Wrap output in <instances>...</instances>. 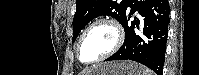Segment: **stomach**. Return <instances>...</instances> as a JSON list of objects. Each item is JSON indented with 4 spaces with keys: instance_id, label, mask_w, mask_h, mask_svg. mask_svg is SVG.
<instances>
[{
    "instance_id": "1",
    "label": "stomach",
    "mask_w": 199,
    "mask_h": 75,
    "mask_svg": "<svg viewBox=\"0 0 199 75\" xmlns=\"http://www.w3.org/2000/svg\"><path fill=\"white\" fill-rule=\"evenodd\" d=\"M144 68L131 61H114L95 66L88 75H143Z\"/></svg>"
}]
</instances>
